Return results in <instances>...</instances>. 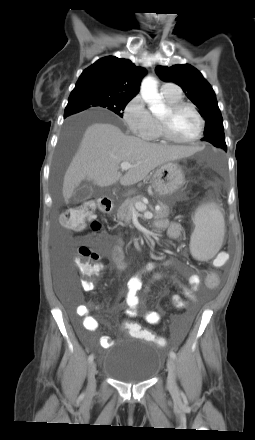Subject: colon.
<instances>
[{"instance_id":"colon-1","label":"colon","mask_w":255,"mask_h":440,"mask_svg":"<svg viewBox=\"0 0 255 440\" xmlns=\"http://www.w3.org/2000/svg\"><path fill=\"white\" fill-rule=\"evenodd\" d=\"M94 211V203L85 202L77 207L64 211L60 216V222L64 227L72 230H82L89 226L92 230L96 231L99 229L100 225L95 219ZM78 253L80 256L78 266L82 274L85 276L84 283L92 285V279L98 276L101 272V266L95 262L99 255L86 246H81ZM215 275L217 274L215 273ZM189 302V298H174L173 308L175 311H185L188 308ZM124 327L133 337L152 342L154 346L166 345L167 341L163 334L158 336L141 326L139 323L126 321Z\"/></svg>"}]
</instances>
